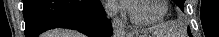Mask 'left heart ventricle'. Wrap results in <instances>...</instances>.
Returning a JSON list of instances; mask_svg holds the SVG:
<instances>
[{"instance_id":"1","label":"left heart ventricle","mask_w":219,"mask_h":37,"mask_svg":"<svg viewBox=\"0 0 219 37\" xmlns=\"http://www.w3.org/2000/svg\"><path fill=\"white\" fill-rule=\"evenodd\" d=\"M160 0H141L132 2L131 11L134 16L140 19H152L161 12Z\"/></svg>"}]
</instances>
